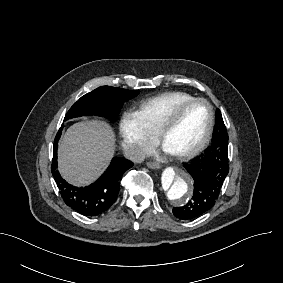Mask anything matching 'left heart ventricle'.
<instances>
[{
  "instance_id": "left-heart-ventricle-1",
  "label": "left heart ventricle",
  "mask_w": 283,
  "mask_h": 283,
  "mask_svg": "<svg viewBox=\"0 0 283 283\" xmlns=\"http://www.w3.org/2000/svg\"><path fill=\"white\" fill-rule=\"evenodd\" d=\"M167 124L175 117L167 114ZM209 120L208 109L203 103H194L185 108L164 136V149L176 156L192 149L201 139Z\"/></svg>"
}]
</instances>
